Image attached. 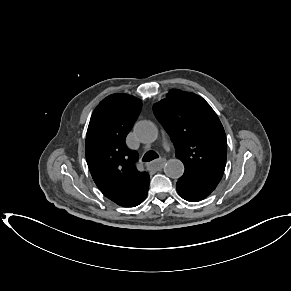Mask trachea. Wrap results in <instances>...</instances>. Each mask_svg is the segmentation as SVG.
Instances as JSON below:
<instances>
[{"mask_svg":"<svg viewBox=\"0 0 291 291\" xmlns=\"http://www.w3.org/2000/svg\"><path fill=\"white\" fill-rule=\"evenodd\" d=\"M158 157H159V156H158L157 153H155V152H153V151H149V152H147V153L143 156L142 161H143V162H149V161H152V160H154V159H156V158H158Z\"/></svg>","mask_w":291,"mask_h":291,"instance_id":"3493384b","label":"trachea"}]
</instances>
